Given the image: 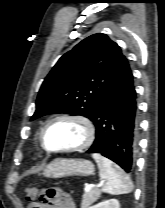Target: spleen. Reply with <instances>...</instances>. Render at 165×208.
<instances>
[{"mask_svg": "<svg viewBox=\"0 0 165 208\" xmlns=\"http://www.w3.org/2000/svg\"><path fill=\"white\" fill-rule=\"evenodd\" d=\"M92 157L98 164L101 179L105 182L103 192L119 195L132 191V182L117 164L98 153H94Z\"/></svg>", "mask_w": 165, "mask_h": 208, "instance_id": "1", "label": "spleen"}]
</instances>
